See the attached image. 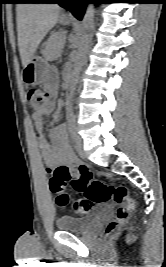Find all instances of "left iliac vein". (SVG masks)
<instances>
[{
    "mask_svg": "<svg viewBox=\"0 0 166 267\" xmlns=\"http://www.w3.org/2000/svg\"><path fill=\"white\" fill-rule=\"evenodd\" d=\"M74 142H75V147L78 150V152L81 155H84L85 152H84V149H83V140L77 133L75 134Z\"/></svg>",
    "mask_w": 166,
    "mask_h": 267,
    "instance_id": "left-iliac-vein-1",
    "label": "left iliac vein"
}]
</instances>
